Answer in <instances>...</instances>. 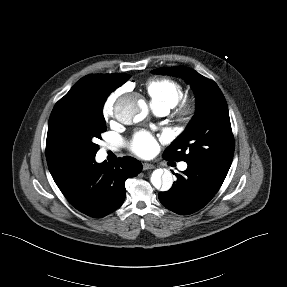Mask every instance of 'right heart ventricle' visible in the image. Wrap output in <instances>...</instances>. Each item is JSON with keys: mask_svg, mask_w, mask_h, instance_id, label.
Listing matches in <instances>:
<instances>
[{"mask_svg": "<svg viewBox=\"0 0 287 287\" xmlns=\"http://www.w3.org/2000/svg\"><path fill=\"white\" fill-rule=\"evenodd\" d=\"M146 90L153 106L168 110L176 106L183 96L181 84L169 78L150 79L146 83Z\"/></svg>", "mask_w": 287, "mask_h": 287, "instance_id": "obj_1", "label": "right heart ventricle"}]
</instances>
